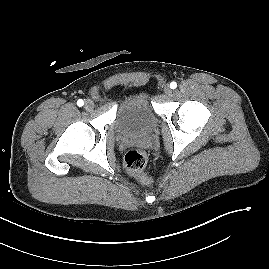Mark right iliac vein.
<instances>
[{"mask_svg": "<svg viewBox=\"0 0 269 269\" xmlns=\"http://www.w3.org/2000/svg\"><path fill=\"white\" fill-rule=\"evenodd\" d=\"M86 110H92L94 108V102L90 99L85 101V105H84Z\"/></svg>", "mask_w": 269, "mask_h": 269, "instance_id": "right-iliac-vein-1", "label": "right iliac vein"}]
</instances>
